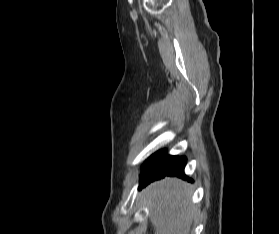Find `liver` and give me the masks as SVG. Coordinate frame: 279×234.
<instances>
[{
	"label": "liver",
	"instance_id": "obj_1",
	"mask_svg": "<svg viewBox=\"0 0 279 234\" xmlns=\"http://www.w3.org/2000/svg\"><path fill=\"white\" fill-rule=\"evenodd\" d=\"M184 186L182 181L168 178L143 191L149 200L154 234H190L194 208Z\"/></svg>",
	"mask_w": 279,
	"mask_h": 234
}]
</instances>
